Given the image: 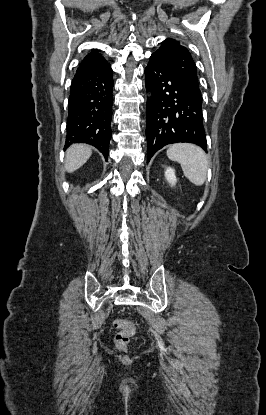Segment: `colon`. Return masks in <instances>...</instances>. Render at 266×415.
Segmentation results:
<instances>
[{
  "mask_svg": "<svg viewBox=\"0 0 266 415\" xmlns=\"http://www.w3.org/2000/svg\"><path fill=\"white\" fill-rule=\"evenodd\" d=\"M113 325L118 330L115 335V345L118 349L125 350L135 333V327L132 322L124 319L115 320Z\"/></svg>",
  "mask_w": 266,
  "mask_h": 415,
  "instance_id": "obj_1",
  "label": "colon"
}]
</instances>
